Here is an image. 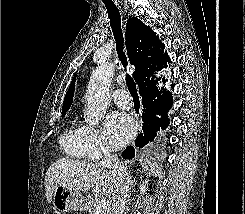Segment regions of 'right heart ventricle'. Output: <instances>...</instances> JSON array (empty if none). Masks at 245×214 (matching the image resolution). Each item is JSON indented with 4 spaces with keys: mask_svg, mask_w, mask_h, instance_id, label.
Listing matches in <instances>:
<instances>
[{
    "mask_svg": "<svg viewBox=\"0 0 245 214\" xmlns=\"http://www.w3.org/2000/svg\"><path fill=\"white\" fill-rule=\"evenodd\" d=\"M83 127L73 122L60 136L59 143L61 149L71 159L82 160L86 157Z\"/></svg>",
    "mask_w": 245,
    "mask_h": 214,
    "instance_id": "1",
    "label": "right heart ventricle"
}]
</instances>
